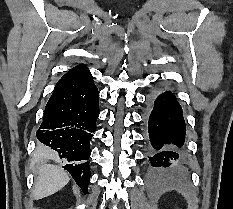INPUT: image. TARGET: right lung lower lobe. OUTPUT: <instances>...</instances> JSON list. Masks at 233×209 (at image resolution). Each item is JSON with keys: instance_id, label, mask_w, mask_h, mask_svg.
<instances>
[{"instance_id": "98d812e1", "label": "right lung lower lobe", "mask_w": 233, "mask_h": 209, "mask_svg": "<svg viewBox=\"0 0 233 209\" xmlns=\"http://www.w3.org/2000/svg\"><path fill=\"white\" fill-rule=\"evenodd\" d=\"M99 116V93L84 65L68 71L56 84L36 136L67 160L64 168L86 194L90 181V140Z\"/></svg>"}]
</instances>
